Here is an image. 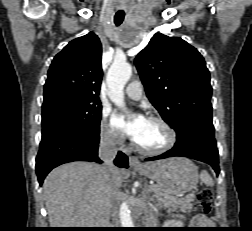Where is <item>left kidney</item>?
<instances>
[{"label": "left kidney", "mask_w": 252, "mask_h": 231, "mask_svg": "<svg viewBox=\"0 0 252 231\" xmlns=\"http://www.w3.org/2000/svg\"><path fill=\"white\" fill-rule=\"evenodd\" d=\"M166 225L170 228H182L184 224L180 220H169L166 222Z\"/></svg>", "instance_id": "1"}]
</instances>
